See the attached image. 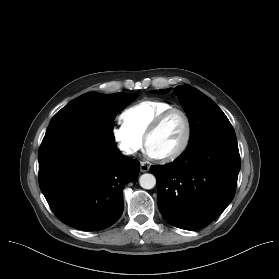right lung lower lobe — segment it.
<instances>
[{
  "instance_id": "1",
  "label": "right lung lower lobe",
  "mask_w": 279,
  "mask_h": 279,
  "mask_svg": "<svg viewBox=\"0 0 279 279\" xmlns=\"http://www.w3.org/2000/svg\"><path fill=\"white\" fill-rule=\"evenodd\" d=\"M39 185L63 223L96 231L114 224L123 212V188L137 178L140 164L114 143L83 130L45 136L39 149Z\"/></svg>"
}]
</instances>
